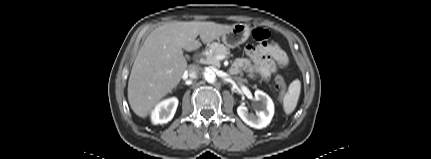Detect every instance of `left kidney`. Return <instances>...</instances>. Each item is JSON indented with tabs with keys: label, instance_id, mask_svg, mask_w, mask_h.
Wrapping results in <instances>:
<instances>
[{
	"label": "left kidney",
	"instance_id": "left-kidney-1",
	"mask_svg": "<svg viewBox=\"0 0 431 159\" xmlns=\"http://www.w3.org/2000/svg\"><path fill=\"white\" fill-rule=\"evenodd\" d=\"M256 108L258 109L256 115L249 113L246 106H239L237 113L239 117L250 127L262 129L269 125L274 115V103L272 99L263 91L257 90L254 93Z\"/></svg>",
	"mask_w": 431,
	"mask_h": 159
}]
</instances>
